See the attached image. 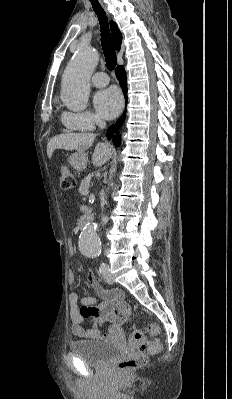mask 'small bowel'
Returning a JSON list of instances; mask_svg holds the SVG:
<instances>
[{"label": "small bowel", "mask_w": 232, "mask_h": 399, "mask_svg": "<svg viewBox=\"0 0 232 399\" xmlns=\"http://www.w3.org/2000/svg\"><path fill=\"white\" fill-rule=\"evenodd\" d=\"M68 249L70 256H74L76 248L71 240L68 241ZM69 284L71 286L76 284V276L74 274L69 275ZM92 289L105 300L95 303L93 296L89 294L81 299V307L79 308L77 306L78 295L76 293H70L69 295V315L72 320L70 331L83 337L81 339L82 344L89 345L99 344L101 341L111 338L114 333L120 330L123 319L131 315L129 307L119 302L120 292L101 289L96 276L92 278ZM89 316L96 317L99 324L105 321H110L111 324L106 331H101L96 326L88 328L84 326V321Z\"/></svg>", "instance_id": "small-bowel-1"}]
</instances>
